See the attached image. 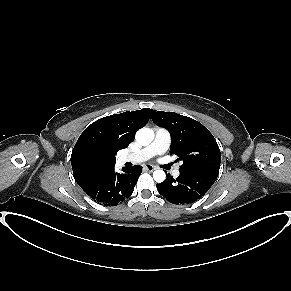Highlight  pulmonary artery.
<instances>
[{
	"label": "pulmonary artery",
	"instance_id": "obj_1",
	"mask_svg": "<svg viewBox=\"0 0 291 291\" xmlns=\"http://www.w3.org/2000/svg\"><path fill=\"white\" fill-rule=\"evenodd\" d=\"M170 146V134L164 128H156L153 141L146 147L139 151L123 155L121 162L140 163L149 160L156 155L164 154ZM180 175L179 167L173 170V176L178 177Z\"/></svg>",
	"mask_w": 291,
	"mask_h": 291
}]
</instances>
